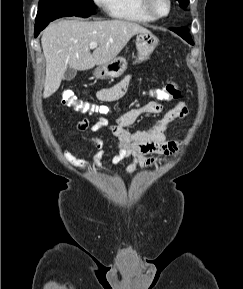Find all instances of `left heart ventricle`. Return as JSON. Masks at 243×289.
<instances>
[{
  "label": "left heart ventricle",
  "instance_id": "obj_1",
  "mask_svg": "<svg viewBox=\"0 0 243 289\" xmlns=\"http://www.w3.org/2000/svg\"><path fill=\"white\" fill-rule=\"evenodd\" d=\"M154 11L158 14H165L168 9L166 0H152Z\"/></svg>",
  "mask_w": 243,
  "mask_h": 289
}]
</instances>
